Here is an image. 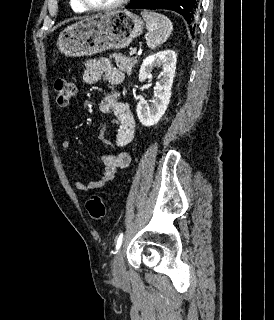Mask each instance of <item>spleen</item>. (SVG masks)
I'll list each match as a JSON object with an SVG mask.
<instances>
[{
  "label": "spleen",
  "instance_id": "obj_1",
  "mask_svg": "<svg viewBox=\"0 0 274 320\" xmlns=\"http://www.w3.org/2000/svg\"><path fill=\"white\" fill-rule=\"evenodd\" d=\"M141 16L146 22L149 32L147 46L156 48L159 44L166 42L173 30L172 22H170L169 18L162 16V14H156V12H149V10H143Z\"/></svg>",
  "mask_w": 274,
  "mask_h": 320
}]
</instances>
